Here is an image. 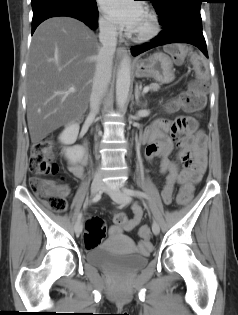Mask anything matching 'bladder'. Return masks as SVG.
I'll use <instances>...</instances> for the list:
<instances>
[{"instance_id": "obj_1", "label": "bladder", "mask_w": 238, "mask_h": 315, "mask_svg": "<svg viewBox=\"0 0 238 315\" xmlns=\"http://www.w3.org/2000/svg\"><path fill=\"white\" fill-rule=\"evenodd\" d=\"M102 249L89 248L86 253V261L94 266L102 268H119L126 271H134L147 264L150 252L135 254V256H102Z\"/></svg>"}]
</instances>
